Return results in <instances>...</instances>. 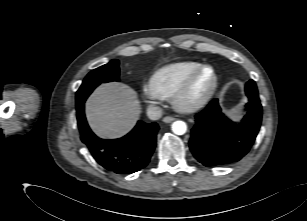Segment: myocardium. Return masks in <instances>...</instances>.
Listing matches in <instances>:
<instances>
[{
    "instance_id": "f54148a6",
    "label": "myocardium",
    "mask_w": 307,
    "mask_h": 221,
    "mask_svg": "<svg viewBox=\"0 0 307 221\" xmlns=\"http://www.w3.org/2000/svg\"><path fill=\"white\" fill-rule=\"evenodd\" d=\"M205 70H210L212 73V83L208 90L197 98H192V90L198 81L199 77ZM218 87V74L215 68L211 65H203L195 73H193L183 85L172 96V105L175 110L182 113H192L206 106L212 99Z\"/></svg>"
}]
</instances>
